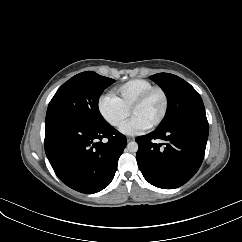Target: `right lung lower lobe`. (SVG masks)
Wrapping results in <instances>:
<instances>
[{"label":"right lung lower lobe","mask_w":242,"mask_h":242,"mask_svg":"<svg viewBox=\"0 0 242 242\" xmlns=\"http://www.w3.org/2000/svg\"><path fill=\"white\" fill-rule=\"evenodd\" d=\"M125 146L126 137L109 123L56 121L45 126V152L54 172L82 193L99 192L111 183Z\"/></svg>","instance_id":"right-lung-lower-lobe-1"}]
</instances>
